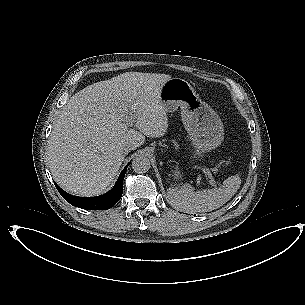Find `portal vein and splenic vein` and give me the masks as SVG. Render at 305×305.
Returning a JSON list of instances; mask_svg holds the SVG:
<instances>
[{"mask_svg": "<svg viewBox=\"0 0 305 305\" xmlns=\"http://www.w3.org/2000/svg\"><path fill=\"white\" fill-rule=\"evenodd\" d=\"M208 177L210 179V185L216 187L217 183L215 182L213 176L208 172Z\"/></svg>", "mask_w": 305, "mask_h": 305, "instance_id": "18ae733b", "label": "portal vein and splenic vein"}]
</instances>
